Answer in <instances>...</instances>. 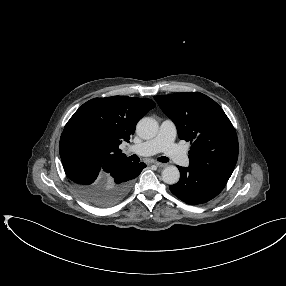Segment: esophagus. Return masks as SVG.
I'll list each match as a JSON object with an SVG mask.
<instances>
[{
  "label": "esophagus",
  "mask_w": 286,
  "mask_h": 286,
  "mask_svg": "<svg viewBox=\"0 0 286 286\" xmlns=\"http://www.w3.org/2000/svg\"><path fill=\"white\" fill-rule=\"evenodd\" d=\"M154 163V165H156L157 167H160V168H162V167H165L166 166V164H164V163H160V162H153Z\"/></svg>",
  "instance_id": "obj_1"
}]
</instances>
